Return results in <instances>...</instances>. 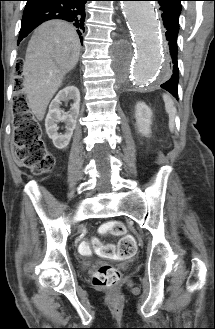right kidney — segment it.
<instances>
[{
    "mask_svg": "<svg viewBox=\"0 0 215 329\" xmlns=\"http://www.w3.org/2000/svg\"><path fill=\"white\" fill-rule=\"evenodd\" d=\"M73 100L70 111L64 112L60 106L63 101ZM80 109V92L77 87L69 85L58 92L49 105V112L45 119L46 132L58 149L68 146L76 127ZM57 122H64L66 131L58 133Z\"/></svg>",
    "mask_w": 215,
    "mask_h": 329,
    "instance_id": "ca27d5eb",
    "label": "right kidney"
}]
</instances>
